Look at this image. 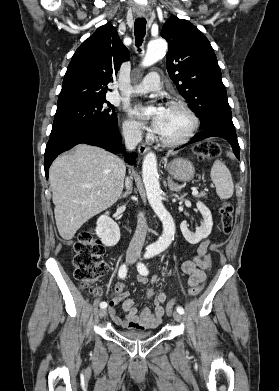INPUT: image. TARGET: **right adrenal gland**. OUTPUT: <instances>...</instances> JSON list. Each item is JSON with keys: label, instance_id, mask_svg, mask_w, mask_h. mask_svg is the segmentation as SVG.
Listing matches in <instances>:
<instances>
[{"label": "right adrenal gland", "instance_id": "obj_1", "mask_svg": "<svg viewBox=\"0 0 279 391\" xmlns=\"http://www.w3.org/2000/svg\"><path fill=\"white\" fill-rule=\"evenodd\" d=\"M130 192H131V189L127 190L126 192H124V193L120 196V198H121V199H122V198H126V197L130 194Z\"/></svg>", "mask_w": 279, "mask_h": 391}]
</instances>
